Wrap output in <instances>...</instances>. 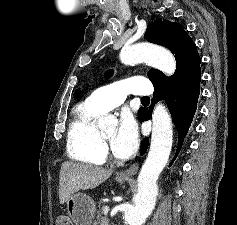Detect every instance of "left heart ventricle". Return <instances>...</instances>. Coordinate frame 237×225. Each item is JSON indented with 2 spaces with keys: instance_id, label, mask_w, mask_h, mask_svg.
<instances>
[{
  "instance_id": "obj_1",
  "label": "left heart ventricle",
  "mask_w": 237,
  "mask_h": 225,
  "mask_svg": "<svg viewBox=\"0 0 237 225\" xmlns=\"http://www.w3.org/2000/svg\"><path fill=\"white\" fill-rule=\"evenodd\" d=\"M102 133L104 134V136L108 140V142L112 145V142H113L115 134H116V128L112 127V128L106 129V130L102 131Z\"/></svg>"
}]
</instances>
